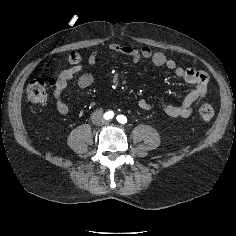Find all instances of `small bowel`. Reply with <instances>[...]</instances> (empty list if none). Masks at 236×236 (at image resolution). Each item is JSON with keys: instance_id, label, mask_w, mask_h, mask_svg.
Listing matches in <instances>:
<instances>
[{"instance_id": "small-bowel-1", "label": "small bowel", "mask_w": 236, "mask_h": 236, "mask_svg": "<svg viewBox=\"0 0 236 236\" xmlns=\"http://www.w3.org/2000/svg\"><path fill=\"white\" fill-rule=\"evenodd\" d=\"M105 51L128 56L134 62H139L142 59H149L155 66L165 67L172 70L176 76L182 78L186 83L194 85V88L185 96L181 103L177 105L165 104L162 107V112L167 116L175 118H187L191 116L194 112L195 103L205 97L207 93L209 78L205 72L192 68L185 69L178 67L173 59L168 58L162 52L152 51V49L148 46L138 49L129 45L110 44ZM101 53L102 51L92 52L88 57V63L93 65ZM81 69V65H76L74 67L62 70L57 76L53 97L56 102V108L62 115L69 113V106L64 101V90L66 89L69 81ZM93 82L94 77L89 73H85L78 78L77 84L80 88L85 89L92 85ZM138 107L142 110L151 109V105L144 98L138 101Z\"/></svg>"}]
</instances>
